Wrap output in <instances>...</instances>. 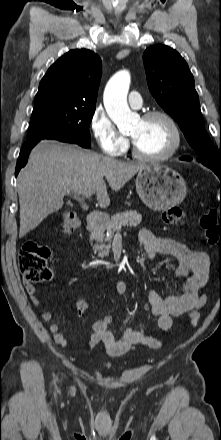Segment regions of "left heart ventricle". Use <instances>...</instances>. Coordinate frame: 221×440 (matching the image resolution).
<instances>
[{
    "label": "left heart ventricle",
    "mask_w": 221,
    "mask_h": 440,
    "mask_svg": "<svg viewBox=\"0 0 221 440\" xmlns=\"http://www.w3.org/2000/svg\"><path fill=\"white\" fill-rule=\"evenodd\" d=\"M137 148L147 155H159L166 152L173 140L172 130L161 117L138 120L130 131Z\"/></svg>",
    "instance_id": "obj_1"
}]
</instances>
